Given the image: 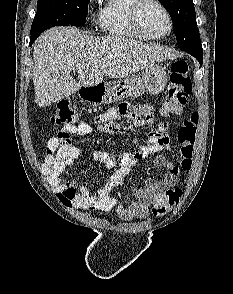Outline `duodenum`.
I'll return each mask as SVG.
<instances>
[{
    "instance_id": "duodenum-1",
    "label": "duodenum",
    "mask_w": 233,
    "mask_h": 294,
    "mask_svg": "<svg viewBox=\"0 0 233 294\" xmlns=\"http://www.w3.org/2000/svg\"><path fill=\"white\" fill-rule=\"evenodd\" d=\"M102 92V87L100 85H96L93 87L84 88L82 90V96L85 98H91L94 96H98Z\"/></svg>"
}]
</instances>
